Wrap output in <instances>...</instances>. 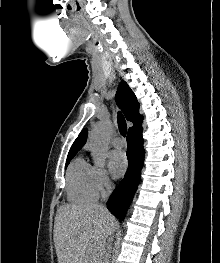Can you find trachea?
<instances>
[{"instance_id": "1", "label": "trachea", "mask_w": 220, "mask_h": 263, "mask_svg": "<svg viewBox=\"0 0 220 263\" xmlns=\"http://www.w3.org/2000/svg\"><path fill=\"white\" fill-rule=\"evenodd\" d=\"M117 123H118V128H119L120 134L125 137L126 133H127V124H126V120H125L124 116L121 114V112L118 113Z\"/></svg>"}]
</instances>
